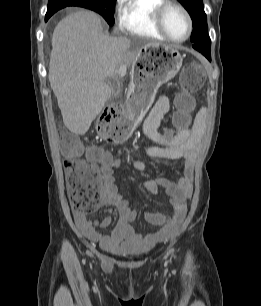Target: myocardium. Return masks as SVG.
<instances>
[{"label":"myocardium","mask_w":261,"mask_h":306,"mask_svg":"<svg viewBox=\"0 0 261 306\" xmlns=\"http://www.w3.org/2000/svg\"><path fill=\"white\" fill-rule=\"evenodd\" d=\"M176 8L178 10H180L186 21H187V34L184 38L182 39H175L173 38L167 31L165 25H164V15L166 13V11L169 8ZM154 23L157 27V29L159 30V32L168 40L171 41L173 43H183L185 42L192 34L193 31V22H192V18L190 16V13L188 12V10L179 2H176L174 0H165L164 3H162L155 11L154 13Z\"/></svg>","instance_id":"1"}]
</instances>
